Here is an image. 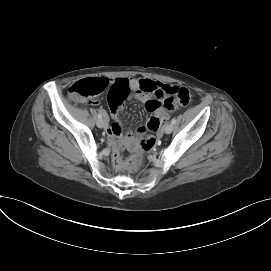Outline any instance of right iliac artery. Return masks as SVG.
I'll list each match as a JSON object with an SVG mask.
<instances>
[{
	"label": "right iliac artery",
	"mask_w": 271,
	"mask_h": 271,
	"mask_svg": "<svg viewBox=\"0 0 271 271\" xmlns=\"http://www.w3.org/2000/svg\"><path fill=\"white\" fill-rule=\"evenodd\" d=\"M98 118H99V119H101V118H102V115H101L100 113L98 114Z\"/></svg>",
	"instance_id": "obj_1"
}]
</instances>
